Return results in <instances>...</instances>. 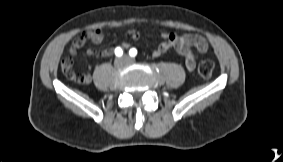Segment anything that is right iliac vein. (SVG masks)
Returning <instances> with one entry per match:
<instances>
[{
    "label": "right iliac vein",
    "instance_id": "63e3f726",
    "mask_svg": "<svg viewBox=\"0 0 283 162\" xmlns=\"http://www.w3.org/2000/svg\"><path fill=\"white\" fill-rule=\"evenodd\" d=\"M124 63L125 62L123 59H117L114 64L116 68H121L124 65Z\"/></svg>",
    "mask_w": 283,
    "mask_h": 162
}]
</instances>
